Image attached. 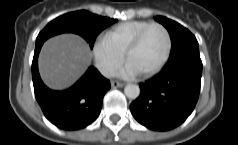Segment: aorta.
<instances>
[{
    "label": "aorta",
    "mask_w": 238,
    "mask_h": 145,
    "mask_svg": "<svg viewBox=\"0 0 238 145\" xmlns=\"http://www.w3.org/2000/svg\"><path fill=\"white\" fill-rule=\"evenodd\" d=\"M124 93L129 99H136L140 94V88L135 84H128L124 88Z\"/></svg>",
    "instance_id": "1"
}]
</instances>
